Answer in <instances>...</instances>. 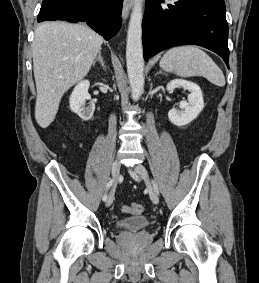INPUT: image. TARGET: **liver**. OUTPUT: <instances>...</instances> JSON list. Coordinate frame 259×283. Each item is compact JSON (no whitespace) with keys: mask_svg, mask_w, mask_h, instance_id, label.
<instances>
[{"mask_svg":"<svg viewBox=\"0 0 259 283\" xmlns=\"http://www.w3.org/2000/svg\"><path fill=\"white\" fill-rule=\"evenodd\" d=\"M102 37L85 24L45 22L32 43L37 89L35 119L47 128L55 119L64 93L89 72Z\"/></svg>","mask_w":259,"mask_h":283,"instance_id":"6515ba94","label":"liver"}]
</instances>
